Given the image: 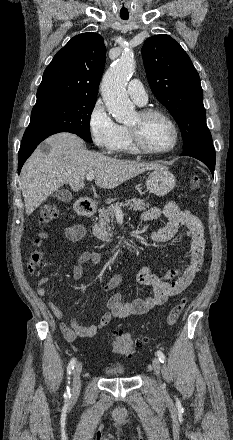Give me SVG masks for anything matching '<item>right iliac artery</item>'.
<instances>
[{
    "label": "right iliac artery",
    "instance_id": "obj_1",
    "mask_svg": "<svg viewBox=\"0 0 233 440\" xmlns=\"http://www.w3.org/2000/svg\"><path fill=\"white\" fill-rule=\"evenodd\" d=\"M75 364H76V359L75 358L71 359V361L69 362L68 367H67L68 375L71 374V371L74 369ZM64 397L66 399L71 397L69 386H67V388H66V392L64 394Z\"/></svg>",
    "mask_w": 233,
    "mask_h": 440
}]
</instances>
